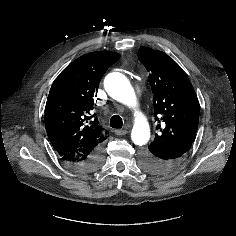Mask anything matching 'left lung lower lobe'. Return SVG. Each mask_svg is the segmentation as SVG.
Listing matches in <instances>:
<instances>
[{
  "label": "left lung lower lobe",
  "instance_id": "0a47b994",
  "mask_svg": "<svg viewBox=\"0 0 236 236\" xmlns=\"http://www.w3.org/2000/svg\"><path fill=\"white\" fill-rule=\"evenodd\" d=\"M155 156L144 154L142 156L143 169L151 174L163 175L173 170L182 160L186 151L184 150H154ZM150 166L147 170L145 166Z\"/></svg>",
  "mask_w": 236,
  "mask_h": 236
}]
</instances>
